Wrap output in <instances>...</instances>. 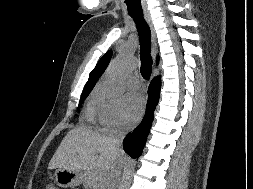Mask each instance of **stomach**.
<instances>
[{"instance_id": "stomach-1", "label": "stomach", "mask_w": 253, "mask_h": 189, "mask_svg": "<svg viewBox=\"0 0 253 189\" xmlns=\"http://www.w3.org/2000/svg\"><path fill=\"white\" fill-rule=\"evenodd\" d=\"M54 177L58 186L69 188L84 181L85 174L81 171L58 168L54 173Z\"/></svg>"}]
</instances>
